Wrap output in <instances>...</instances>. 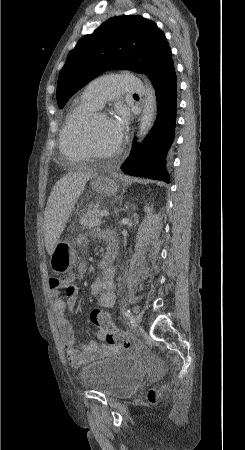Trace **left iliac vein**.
I'll return each instance as SVG.
<instances>
[{"mask_svg": "<svg viewBox=\"0 0 245 450\" xmlns=\"http://www.w3.org/2000/svg\"><path fill=\"white\" fill-rule=\"evenodd\" d=\"M142 321V314L137 313L134 317V322L136 325L140 324V322Z\"/></svg>", "mask_w": 245, "mask_h": 450, "instance_id": "left-iliac-vein-1", "label": "left iliac vein"}]
</instances>
